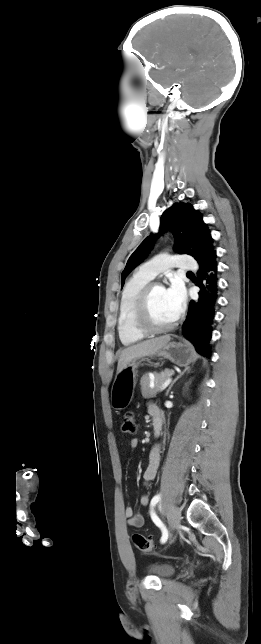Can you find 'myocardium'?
Segmentation results:
<instances>
[{
  "label": "myocardium",
  "mask_w": 261,
  "mask_h": 644,
  "mask_svg": "<svg viewBox=\"0 0 261 644\" xmlns=\"http://www.w3.org/2000/svg\"><path fill=\"white\" fill-rule=\"evenodd\" d=\"M155 287L164 288L161 284L156 282L147 283L141 290L134 309V325L145 335L160 334L168 332L176 327L179 316L176 317L171 323L165 326L154 325L149 317V301L151 293Z\"/></svg>",
  "instance_id": "myocardium-1"
}]
</instances>
